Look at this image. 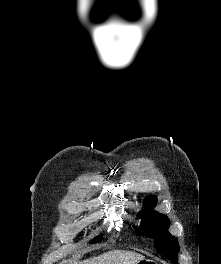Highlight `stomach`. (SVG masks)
Masks as SVG:
<instances>
[{"instance_id": "stomach-1", "label": "stomach", "mask_w": 221, "mask_h": 264, "mask_svg": "<svg viewBox=\"0 0 221 264\" xmlns=\"http://www.w3.org/2000/svg\"><path fill=\"white\" fill-rule=\"evenodd\" d=\"M135 264H157V262L151 259H143L137 261Z\"/></svg>"}]
</instances>
